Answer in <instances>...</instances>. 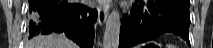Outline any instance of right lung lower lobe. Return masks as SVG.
Returning a JSON list of instances; mask_svg holds the SVG:
<instances>
[{
	"label": "right lung lower lobe",
	"instance_id": "98d812e1",
	"mask_svg": "<svg viewBox=\"0 0 213 48\" xmlns=\"http://www.w3.org/2000/svg\"><path fill=\"white\" fill-rule=\"evenodd\" d=\"M29 38L65 33L81 48H92L97 11L73 0H29Z\"/></svg>",
	"mask_w": 213,
	"mask_h": 48
}]
</instances>
